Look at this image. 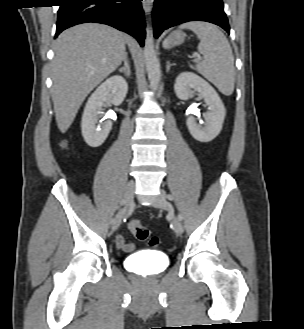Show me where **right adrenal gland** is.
I'll use <instances>...</instances> for the list:
<instances>
[{
  "mask_svg": "<svg viewBox=\"0 0 304 329\" xmlns=\"http://www.w3.org/2000/svg\"><path fill=\"white\" fill-rule=\"evenodd\" d=\"M120 73H124L126 78H130L131 70L127 54L124 57V66L119 69Z\"/></svg>",
  "mask_w": 304,
  "mask_h": 329,
  "instance_id": "1",
  "label": "right adrenal gland"
}]
</instances>
